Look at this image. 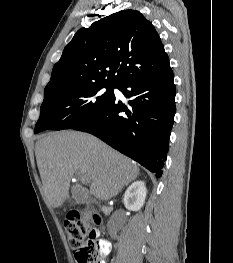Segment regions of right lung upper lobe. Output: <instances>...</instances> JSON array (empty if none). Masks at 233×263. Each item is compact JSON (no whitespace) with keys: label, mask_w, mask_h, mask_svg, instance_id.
I'll use <instances>...</instances> for the list:
<instances>
[{"label":"right lung upper lobe","mask_w":233,"mask_h":263,"mask_svg":"<svg viewBox=\"0 0 233 263\" xmlns=\"http://www.w3.org/2000/svg\"><path fill=\"white\" fill-rule=\"evenodd\" d=\"M168 67L169 58L152 23L138 11L123 10L74 35L53 67L44 98L89 85L119 86Z\"/></svg>","instance_id":"cb5924a9"}]
</instances>
